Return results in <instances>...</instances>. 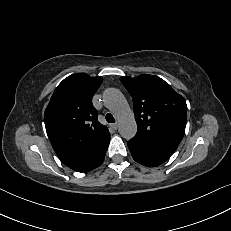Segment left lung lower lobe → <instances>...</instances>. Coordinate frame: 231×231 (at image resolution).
<instances>
[{"label": "left lung lower lobe", "mask_w": 231, "mask_h": 231, "mask_svg": "<svg viewBox=\"0 0 231 231\" xmlns=\"http://www.w3.org/2000/svg\"><path fill=\"white\" fill-rule=\"evenodd\" d=\"M133 159L145 166L155 167L164 163L173 152L150 147L136 139L127 143Z\"/></svg>", "instance_id": "0a47b994"}]
</instances>
